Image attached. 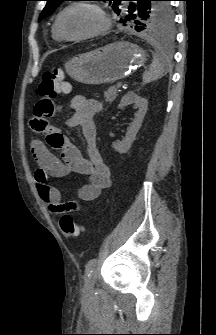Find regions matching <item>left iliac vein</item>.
<instances>
[{
	"instance_id": "1",
	"label": "left iliac vein",
	"mask_w": 216,
	"mask_h": 335,
	"mask_svg": "<svg viewBox=\"0 0 216 335\" xmlns=\"http://www.w3.org/2000/svg\"><path fill=\"white\" fill-rule=\"evenodd\" d=\"M95 282H96V272L93 271L90 276L87 278L86 280V284L84 286V290L83 292L85 294H90L93 292V289H94V285H95Z\"/></svg>"
}]
</instances>
